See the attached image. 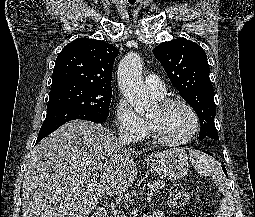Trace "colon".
Segmentation results:
<instances>
[{
    "label": "colon",
    "instance_id": "1",
    "mask_svg": "<svg viewBox=\"0 0 255 217\" xmlns=\"http://www.w3.org/2000/svg\"><path fill=\"white\" fill-rule=\"evenodd\" d=\"M169 200L174 208L184 207L188 201V194L180 185H174L170 190Z\"/></svg>",
    "mask_w": 255,
    "mask_h": 217
}]
</instances>
